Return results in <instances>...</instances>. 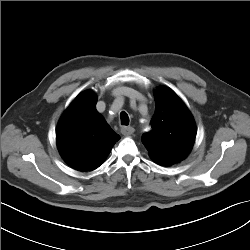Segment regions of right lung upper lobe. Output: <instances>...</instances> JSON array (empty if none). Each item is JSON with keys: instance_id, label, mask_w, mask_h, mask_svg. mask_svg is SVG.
<instances>
[{"instance_id": "cb5924a9", "label": "right lung upper lobe", "mask_w": 250, "mask_h": 250, "mask_svg": "<svg viewBox=\"0 0 250 250\" xmlns=\"http://www.w3.org/2000/svg\"><path fill=\"white\" fill-rule=\"evenodd\" d=\"M96 103L93 92L80 93L57 126L58 150L65 162L79 171L98 168L120 139L98 113Z\"/></svg>"}]
</instances>
